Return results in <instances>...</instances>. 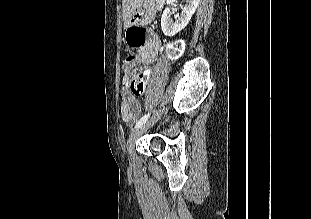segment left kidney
Wrapping results in <instances>:
<instances>
[{"label":"left kidney","mask_w":311,"mask_h":219,"mask_svg":"<svg viewBox=\"0 0 311 219\" xmlns=\"http://www.w3.org/2000/svg\"><path fill=\"white\" fill-rule=\"evenodd\" d=\"M174 1L176 0H167L168 7L164 10L161 17V28L166 36H174L184 29L190 22L200 2V0H186L187 4L182 8L181 14L176 16V20L173 21L170 6Z\"/></svg>","instance_id":"left-kidney-1"}]
</instances>
